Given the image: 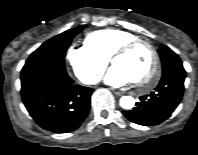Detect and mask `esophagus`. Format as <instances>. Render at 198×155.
Segmentation results:
<instances>
[{"label":"esophagus","mask_w":198,"mask_h":155,"mask_svg":"<svg viewBox=\"0 0 198 155\" xmlns=\"http://www.w3.org/2000/svg\"><path fill=\"white\" fill-rule=\"evenodd\" d=\"M115 95H117V96H121V95H123V92H121V91H117V92H115Z\"/></svg>","instance_id":"1"}]
</instances>
